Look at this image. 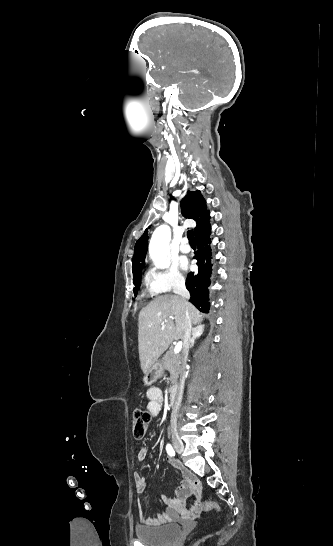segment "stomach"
I'll use <instances>...</instances> for the list:
<instances>
[{
	"mask_svg": "<svg viewBox=\"0 0 333 546\" xmlns=\"http://www.w3.org/2000/svg\"><path fill=\"white\" fill-rule=\"evenodd\" d=\"M164 374V368L161 361L154 363L148 372L144 376V383L146 385H151L161 378Z\"/></svg>",
	"mask_w": 333,
	"mask_h": 546,
	"instance_id": "stomach-1",
	"label": "stomach"
}]
</instances>
